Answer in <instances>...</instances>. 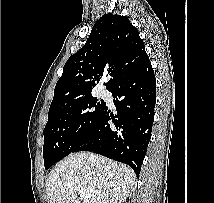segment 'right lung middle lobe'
I'll return each mask as SVG.
<instances>
[{"label": "right lung middle lobe", "mask_w": 214, "mask_h": 203, "mask_svg": "<svg viewBox=\"0 0 214 203\" xmlns=\"http://www.w3.org/2000/svg\"><path fill=\"white\" fill-rule=\"evenodd\" d=\"M104 105L90 95L49 111L44 128L45 169L73 152L92 129Z\"/></svg>", "instance_id": "obj_1"}]
</instances>
